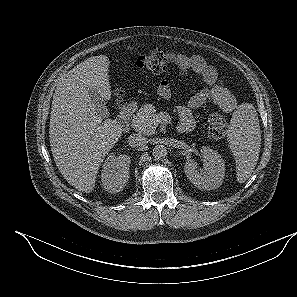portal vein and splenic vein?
<instances>
[{"label": "portal vein and splenic vein", "instance_id": "portal-vein-and-splenic-vein-1", "mask_svg": "<svg viewBox=\"0 0 297 297\" xmlns=\"http://www.w3.org/2000/svg\"><path fill=\"white\" fill-rule=\"evenodd\" d=\"M161 121V119H157V122H160Z\"/></svg>", "mask_w": 297, "mask_h": 297}]
</instances>
